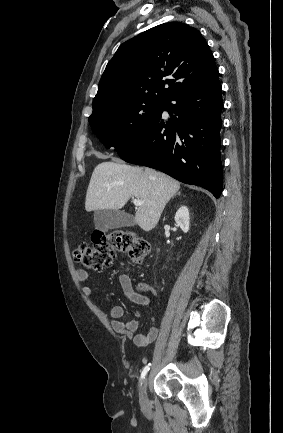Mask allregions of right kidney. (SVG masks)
<instances>
[{
	"instance_id": "ca27d5eb",
	"label": "right kidney",
	"mask_w": 283,
	"mask_h": 433,
	"mask_svg": "<svg viewBox=\"0 0 283 433\" xmlns=\"http://www.w3.org/2000/svg\"><path fill=\"white\" fill-rule=\"evenodd\" d=\"M175 222L182 229L183 232L187 233L190 225L189 210L186 206H181L175 214Z\"/></svg>"
}]
</instances>
